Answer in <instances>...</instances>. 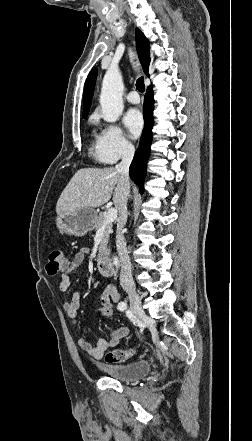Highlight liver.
Returning a JSON list of instances; mask_svg holds the SVG:
<instances>
[{"mask_svg": "<svg viewBox=\"0 0 252 441\" xmlns=\"http://www.w3.org/2000/svg\"><path fill=\"white\" fill-rule=\"evenodd\" d=\"M113 189V202L118 209L123 196V182L116 169H79L61 193L56 212L71 213L77 209L100 207L111 199Z\"/></svg>", "mask_w": 252, "mask_h": 441, "instance_id": "obj_1", "label": "liver"}]
</instances>
